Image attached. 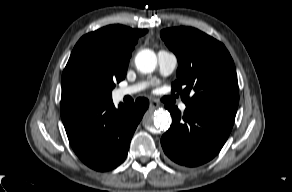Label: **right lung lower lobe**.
Returning <instances> with one entry per match:
<instances>
[{
  "mask_svg": "<svg viewBox=\"0 0 292 192\" xmlns=\"http://www.w3.org/2000/svg\"><path fill=\"white\" fill-rule=\"evenodd\" d=\"M149 102L136 104L61 102V118L74 152L83 163L97 171H108L126 158L130 141Z\"/></svg>",
  "mask_w": 292,
  "mask_h": 192,
  "instance_id": "right-lung-lower-lobe-1",
  "label": "right lung lower lobe"
}]
</instances>
